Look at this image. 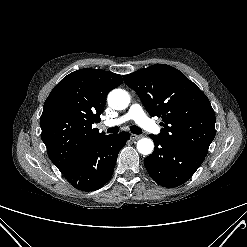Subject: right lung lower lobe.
Listing matches in <instances>:
<instances>
[{"label":"right lung lower lobe","instance_id":"right-lung-lower-lobe-1","mask_svg":"<svg viewBox=\"0 0 247 247\" xmlns=\"http://www.w3.org/2000/svg\"><path fill=\"white\" fill-rule=\"evenodd\" d=\"M128 139L127 132L103 136L61 173L78 190L94 191L103 187L111 178L118 152Z\"/></svg>","mask_w":247,"mask_h":247}]
</instances>
